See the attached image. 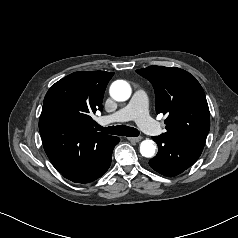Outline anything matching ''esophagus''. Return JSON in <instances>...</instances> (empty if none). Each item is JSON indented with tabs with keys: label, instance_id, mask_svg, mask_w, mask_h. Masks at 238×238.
<instances>
[{
	"label": "esophagus",
	"instance_id": "obj_1",
	"mask_svg": "<svg viewBox=\"0 0 238 238\" xmlns=\"http://www.w3.org/2000/svg\"><path fill=\"white\" fill-rule=\"evenodd\" d=\"M127 139L131 142H139L142 140V137H128Z\"/></svg>",
	"mask_w": 238,
	"mask_h": 238
}]
</instances>
